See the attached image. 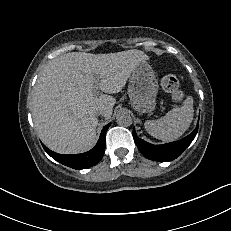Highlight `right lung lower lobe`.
<instances>
[{"mask_svg": "<svg viewBox=\"0 0 231 231\" xmlns=\"http://www.w3.org/2000/svg\"><path fill=\"white\" fill-rule=\"evenodd\" d=\"M109 126L110 123L102 129L97 144L93 149L86 153L75 155H62L49 150L44 145L43 148L47 152V154H49L53 159H55L63 165H66L74 169H86L97 164L103 157L106 145V131L109 128Z\"/></svg>", "mask_w": 231, "mask_h": 231, "instance_id": "98d812e1", "label": "right lung lower lobe"}]
</instances>
